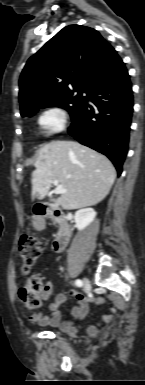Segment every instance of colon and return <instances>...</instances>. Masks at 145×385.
Wrapping results in <instances>:
<instances>
[{"mask_svg": "<svg viewBox=\"0 0 145 385\" xmlns=\"http://www.w3.org/2000/svg\"><path fill=\"white\" fill-rule=\"evenodd\" d=\"M41 244L36 236L28 234L21 236L18 243V255L21 260L22 272L27 274L35 265L40 255ZM45 285L38 276H31L27 285L20 289L19 295L23 303L30 308L39 307Z\"/></svg>", "mask_w": 145, "mask_h": 385, "instance_id": "1", "label": "colon"}]
</instances>
